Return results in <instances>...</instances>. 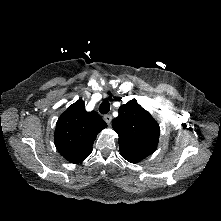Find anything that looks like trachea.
Masks as SVG:
<instances>
[{
	"label": "trachea",
	"instance_id": "obj_1",
	"mask_svg": "<svg viewBox=\"0 0 221 221\" xmlns=\"http://www.w3.org/2000/svg\"><path fill=\"white\" fill-rule=\"evenodd\" d=\"M110 111V103L105 100L100 104L99 112L101 114H107Z\"/></svg>",
	"mask_w": 221,
	"mask_h": 221
}]
</instances>
